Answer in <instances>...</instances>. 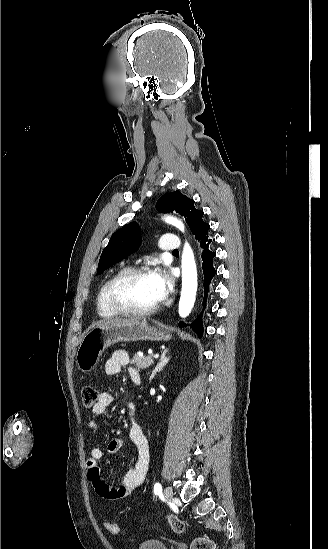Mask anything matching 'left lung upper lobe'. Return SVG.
Instances as JSON below:
<instances>
[{
  "label": "left lung upper lobe",
  "instance_id": "obj_1",
  "mask_svg": "<svg viewBox=\"0 0 328 549\" xmlns=\"http://www.w3.org/2000/svg\"><path fill=\"white\" fill-rule=\"evenodd\" d=\"M159 212H177L185 217L196 239L208 236L210 225L203 221V211L194 207V200L183 195L180 191L164 194L157 202ZM141 245L139 226L135 222L125 225L116 231L110 238L108 245L102 251L98 273L120 261L122 258L135 252Z\"/></svg>",
  "mask_w": 328,
  "mask_h": 549
}]
</instances>
